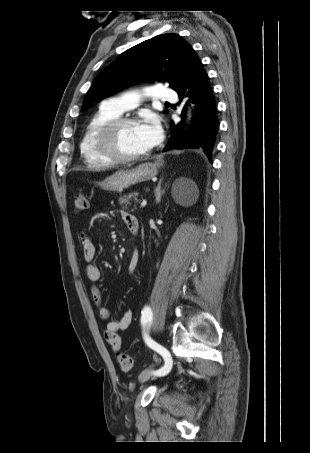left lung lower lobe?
I'll return each mask as SVG.
<instances>
[{"instance_id": "1", "label": "left lung lower lobe", "mask_w": 310, "mask_h": 453, "mask_svg": "<svg viewBox=\"0 0 310 453\" xmlns=\"http://www.w3.org/2000/svg\"><path fill=\"white\" fill-rule=\"evenodd\" d=\"M174 90L178 93L180 100L183 99V94L188 93L187 96L195 104V114L191 124L185 129L186 110L185 108L182 110L183 119L176 126L173 122L171 123L172 139L163 151L174 148H202L210 158L219 121L208 75L195 52L191 54L185 72Z\"/></svg>"}]
</instances>
